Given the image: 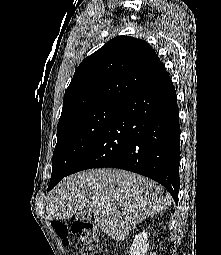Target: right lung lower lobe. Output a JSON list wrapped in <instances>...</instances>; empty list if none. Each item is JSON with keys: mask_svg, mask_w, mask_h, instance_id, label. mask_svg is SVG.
<instances>
[{"mask_svg": "<svg viewBox=\"0 0 221 255\" xmlns=\"http://www.w3.org/2000/svg\"><path fill=\"white\" fill-rule=\"evenodd\" d=\"M179 140L176 91L165 71L119 105L67 175L100 167L129 170L162 184L177 203Z\"/></svg>", "mask_w": 221, "mask_h": 255, "instance_id": "98d812e1", "label": "right lung lower lobe"}]
</instances>
